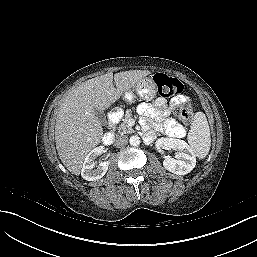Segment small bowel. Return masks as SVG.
I'll use <instances>...</instances> for the list:
<instances>
[{"label": "small bowel", "instance_id": "obj_1", "mask_svg": "<svg viewBox=\"0 0 257 257\" xmlns=\"http://www.w3.org/2000/svg\"><path fill=\"white\" fill-rule=\"evenodd\" d=\"M190 98L185 95L173 98L169 103L164 98H158L154 104L142 103L139 105V112L151 122V128L162 131L169 136H182L183 128L175 120L169 118L172 109L179 107L187 102ZM147 138L150 134L147 133Z\"/></svg>", "mask_w": 257, "mask_h": 257}]
</instances>
